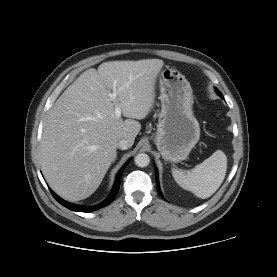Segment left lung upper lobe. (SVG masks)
<instances>
[{
  "label": "left lung upper lobe",
  "mask_w": 277,
  "mask_h": 277,
  "mask_svg": "<svg viewBox=\"0 0 277 277\" xmlns=\"http://www.w3.org/2000/svg\"><path fill=\"white\" fill-rule=\"evenodd\" d=\"M216 92L219 94V96H220L221 98H224L223 95L221 94V92H220L218 89H216Z\"/></svg>",
  "instance_id": "1"
}]
</instances>
